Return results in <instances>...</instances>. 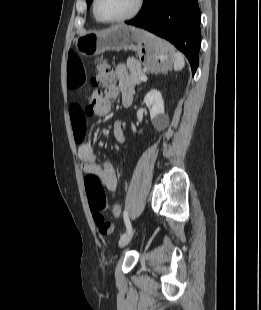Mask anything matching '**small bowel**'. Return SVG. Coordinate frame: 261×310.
I'll use <instances>...</instances> for the list:
<instances>
[{"instance_id": "c3829d8e", "label": "small bowel", "mask_w": 261, "mask_h": 310, "mask_svg": "<svg viewBox=\"0 0 261 310\" xmlns=\"http://www.w3.org/2000/svg\"><path fill=\"white\" fill-rule=\"evenodd\" d=\"M117 84L106 87L104 94L95 93L89 108L84 110L80 105L73 104L70 107V116L74 131L75 141L78 145L77 153L81 169L87 175L97 176L109 192H115L118 188V179L114 166L111 163L97 164L93 143L88 139L86 129V115H105L111 107V100L121 95L122 100H132L134 88L128 79L127 67L120 64L116 68ZM86 81L85 66L80 56L75 52L68 54L67 87L71 91H77L83 87ZM114 138L118 143L124 141V134L120 122H116L113 128Z\"/></svg>"}]
</instances>
